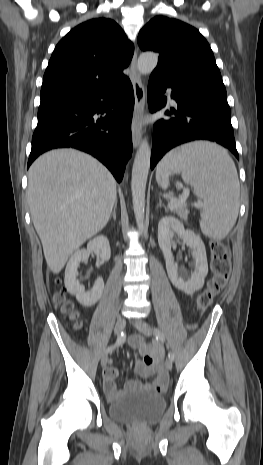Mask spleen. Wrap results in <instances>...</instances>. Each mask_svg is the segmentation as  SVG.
Instances as JSON below:
<instances>
[{"label": "spleen", "instance_id": "1", "mask_svg": "<svg viewBox=\"0 0 263 465\" xmlns=\"http://www.w3.org/2000/svg\"><path fill=\"white\" fill-rule=\"evenodd\" d=\"M180 173L203 199L200 228L222 240L234 226L239 211L240 185L228 152L210 142H194L170 151L158 164L156 180L166 189L169 176Z\"/></svg>", "mask_w": 263, "mask_h": 465}]
</instances>
